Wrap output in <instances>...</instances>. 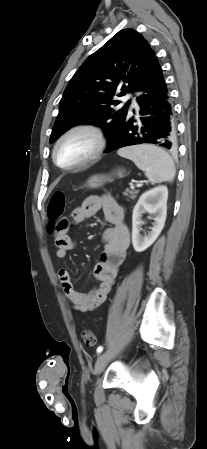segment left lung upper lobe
<instances>
[{
	"label": "left lung upper lobe",
	"instance_id": "5c2ea615",
	"mask_svg": "<svg viewBox=\"0 0 207 449\" xmlns=\"http://www.w3.org/2000/svg\"><path fill=\"white\" fill-rule=\"evenodd\" d=\"M157 61L154 51L137 31L124 29L115 34L87 58L69 81L50 143L77 124L101 127L110 143L128 114V104L119 110L112 107L120 103L113 97L139 91Z\"/></svg>",
	"mask_w": 207,
	"mask_h": 449
}]
</instances>
